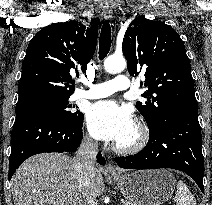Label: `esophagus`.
Here are the masks:
<instances>
[{"label":"esophagus","mask_w":212,"mask_h":205,"mask_svg":"<svg viewBox=\"0 0 212 205\" xmlns=\"http://www.w3.org/2000/svg\"><path fill=\"white\" fill-rule=\"evenodd\" d=\"M103 16L106 20H111L113 18V12L109 5L103 7ZM107 173L115 175L119 173V170L114 166L112 162H109L107 166Z\"/></svg>","instance_id":"34e87169"}]
</instances>
